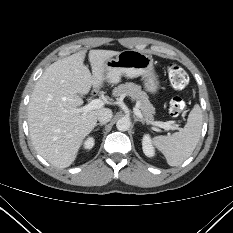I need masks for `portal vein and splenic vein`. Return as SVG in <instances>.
<instances>
[{
  "label": "portal vein and splenic vein",
  "mask_w": 233,
  "mask_h": 233,
  "mask_svg": "<svg viewBox=\"0 0 233 233\" xmlns=\"http://www.w3.org/2000/svg\"><path fill=\"white\" fill-rule=\"evenodd\" d=\"M105 104V101L102 99H93L92 101H90V103H88L87 105L76 109L77 112H82L84 115L86 113H88L89 111L93 110V109H98L103 107V105ZM134 114L139 117V118H143V115L141 113V111L139 110V107L136 105L133 108ZM148 124H151L153 126L156 127H160L163 128L165 130H171L174 127L171 126L170 123L167 122H161V121H147L145 120Z\"/></svg>",
  "instance_id": "1"
}]
</instances>
